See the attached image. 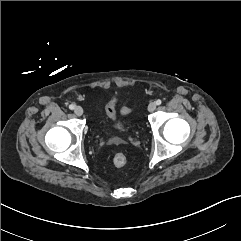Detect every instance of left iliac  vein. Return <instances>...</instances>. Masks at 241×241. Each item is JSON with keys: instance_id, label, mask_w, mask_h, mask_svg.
<instances>
[{"instance_id": "4c4485c4", "label": "left iliac vein", "mask_w": 241, "mask_h": 241, "mask_svg": "<svg viewBox=\"0 0 241 241\" xmlns=\"http://www.w3.org/2000/svg\"><path fill=\"white\" fill-rule=\"evenodd\" d=\"M156 109V103L155 102H151L149 105H148V111L149 112H153L155 111Z\"/></svg>"}]
</instances>
